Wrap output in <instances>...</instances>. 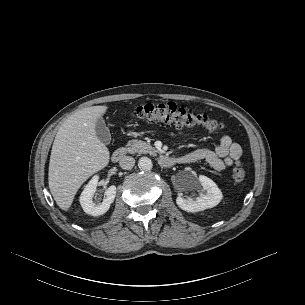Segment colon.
Wrapping results in <instances>:
<instances>
[{
    "instance_id": "obj_1",
    "label": "colon",
    "mask_w": 305,
    "mask_h": 305,
    "mask_svg": "<svg viewBox=\"0 0 305 305\" xmlns=\"http://www.w3.org/2000/svg\"><path fill=\"white\" fill-rule=\"evenodd\" d=\"M132 115L148 123H164L176 127L201 126L213 132L223 128L221 122L205 114L179 107L172 102L141 105L133 109ZM245 176L246 173L242 167H236L234 169L233 179L235 182H242Z\"/></svg>"
}]
</instances>
